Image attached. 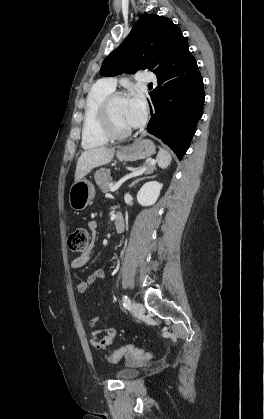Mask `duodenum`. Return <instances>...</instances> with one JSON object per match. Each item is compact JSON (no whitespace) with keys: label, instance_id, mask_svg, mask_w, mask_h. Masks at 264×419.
Instances as JSON below:
<instances>
[{"label":"duodenum","instance_id":"1","mask_svg":"<svg viewBox=\"0 0 264 419\" xmlns=\"http://www.w3.org/2000/svg\"><path fill=\"white\" fill-rule=\"evenodd\" d=\"M114 229L116 232L120 233L124 229V221L121 215H117L114 219Z\"/></svg>","mask_w":264,"mask_h":419}]
</instances>
